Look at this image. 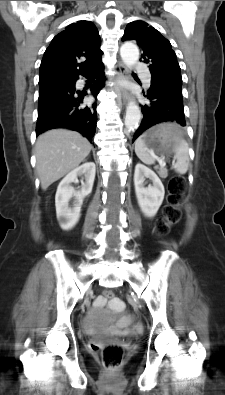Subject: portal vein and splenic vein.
Masks as SVG:
<instances>
[{
  "mask_svg": "<svg viewBox=\"0 0 225 395\" xmlns=\"http://www.w3.org/2000/svg\"><path fill=\"white\" fill-rule=\"evenodd\" d=\"M159 165L164 168L166 166V162L162 158H157Z\"/></svg>",
  "mask_w": 225,
  "mask_h": 395,
  "instance_id": "portal-vein-and-splenic-vein-1",
  "label": "portal vein and splenic vein"
}]
</instances>
